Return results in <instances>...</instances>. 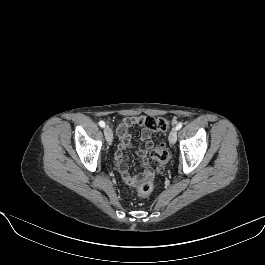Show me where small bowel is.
Masks as SVG:
<instances>
[{"mask_svg": "<svg viewBox=\"0 0 265 265\" xmlns=\"http://www.w3.org/2000/svg\"><path fill=\"white\" fill-rule=\"evenodd\" d=\"M144 117H128L123 119L119 125L117 126V135L120 139L118 150L115 154V160L119 169V172L123 178V180L127 184H134L136 182V177L132 176L129 173L128 165L125 160V152L132 147L131 136L129 134V129L132 126H144L142 124V120ZM140 138L144 143V147L142 149L137 150V154L140 156L145 155L149 150L153 147L152 134L149 129L144 127L141 131Z\"/></svg>", "mask_w": 265, "mask_h": 265, "instance_id": "small-bowel-1", "label": "small bowel"}]
</instances>
